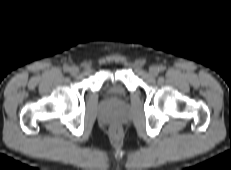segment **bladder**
Listing matches in <instances>:
<instances>
[{"label": "bladder", "mask_w": 231, "mask_h": 170, "mask_svg": "<svg viewBox=\"0 0 231 170\" xmlns=\"http://www.w3.org/2000/svg\"><path fill=\"white\" fill-rule=\"evenodd\" d=\"M108 91L111 94H120L122 93L123 89L119 84L113 83V84H109Z\"/></svg>", "instance_id": "bladder-1"}]
</instances>
